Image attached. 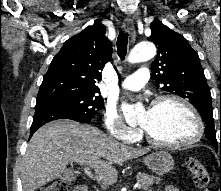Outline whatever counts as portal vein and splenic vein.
I'll use <instances>...</instances> for the list:
<instances>
[{
  "label": "portal vein and splenic vein",
  "instance_id": "1",
  "mask_svg": "<svg viewBox=\"0 0 221 191\" xmlns=\"http://www.w3.org/2000/svg\"><path fill=\"white\" fill-rule=\"evenodd\" d=\"M84 171H85V173L88 175V176H90V177H92V173H91V171H90V168L89 167H86L85 169H84ZM135 188H141L142 187V185L141 184H139V183H137V184H135V186H134Z\"/></svg>",
  "mask_w": 221,
  "mask_h": 191
}]
</instances>
